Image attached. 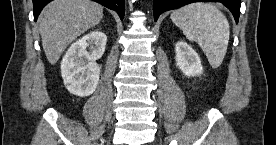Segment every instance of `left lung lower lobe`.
<instances>
[{"mask_svg":"<svg viewBox=\"0 0 276 145\" xmlns=\"http://www.w3.org/2000/svg\"><path fill=\"white\" fill-rule=\"evenodd\" d=\"M220 2L224 4L233 14L236 23H238L240 15L241 0H154L153 12L156 21L159 15L165 11L179 8L192 2Z\"/></svg>","mask_w":276,"mask_h":145,"instance_id":"obj_1","label":"left lung lower lobe"}]
</instances>
